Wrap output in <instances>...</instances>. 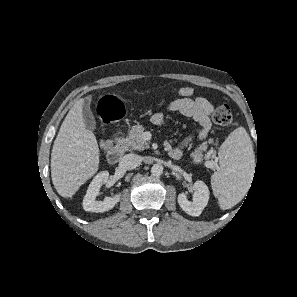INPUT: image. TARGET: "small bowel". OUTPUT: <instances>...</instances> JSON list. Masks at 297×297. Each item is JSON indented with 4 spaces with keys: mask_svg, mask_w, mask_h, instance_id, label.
I'll return each instance as SVG.
<instances>
[{
    "mask_svg": "<svg viewBox=\"0 0 297 297\" xmlns=\"http://www.w3.org/2000/svg\"><path fill=\"white\" fill-rule=\"evenodd\" d=\"M212 103L204 97L178 98L170 102L167 110L177 112L182 116L188 117L196 121L199 125L198 129L189 134L178 145L173 146L169 142L164 143V149L173 159H179L183 155L184 149L194 140L202 141L206 138L210 128V114L213 111ZM151 122L156 126H163L165 119L162 113H155L151 117Z\"/></svg>",
    "mask_w": 297,
    "mask_h": 297,
    "instance_id": "c3829d8e",
    "label": "small bowel"
}]
</instances>
